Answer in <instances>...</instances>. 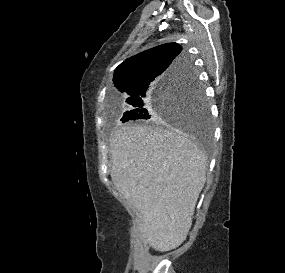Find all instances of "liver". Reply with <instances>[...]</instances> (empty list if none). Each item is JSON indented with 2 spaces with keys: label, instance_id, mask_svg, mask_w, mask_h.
<instances>
[{
  "label": "liver",
  "instance_id": "6515ba94",
  "mask_svg": "<svg viewBox=\"0 0 285 273\" xmlns=\"http://www.w3.org/2000/svg\"><path fill=\"white\" fill-rule=\"evenodd\" d=\"M111 179L144 217L145 241L160 252L180 246L206 182V154L174 129L126 125L111 137Z\"/></svg>",
  "mask_w": 285,
  "mask_h": 273
}]
</instances>
